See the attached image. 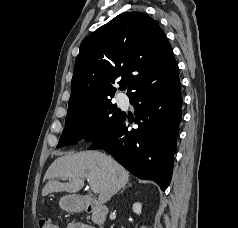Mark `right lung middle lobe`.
I'll use <instances>...</instances> for the list:
<instances>
[{
  "mask_svg": "<svg viewBox=\"0 0 238 228\" xmlns=\"http://www.w3.org/2000/svg\"><path fill=\"white\" fill-rule=\"evenodd\" d=\"M124 114L111 100L95 103L81 109H68L65 128L57 148L76 144L78 139L93 141L105 134Z\"/></svg>",
  "mask_w": 238,
  "mask_h": 228,
  "instance_id": "obj_1",
  "label": "right lung middle lobe"
}]
</instances>
